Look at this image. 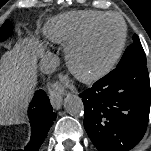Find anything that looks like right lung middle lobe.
I'll return each mask as SVG.
<instances>
[{
  "label": "right lung middle lobe",
  "instance_id": "dd1d6c3e",
  "mask_svg": "<svg viewBox=\"0 0 151 151\" xmlns=\"http://www.w3.org/2000/svg\"><path fill=\"white\" fill-rule=\"evenodd\" d=\"M12 30V24L9 20L5 21L3 25L0 27V42L7 39Z\"/></svg>",
  "mask_w": 151,
  "mask_h": 151
}]
</instances>
